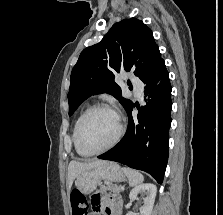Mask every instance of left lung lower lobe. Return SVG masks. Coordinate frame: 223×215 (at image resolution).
Wrapping results in <instances>:
<instances>
[{
	"label": "left lung lower lobe",
	"mask_w": 223,
	"mask_h": 215,
	"mask_svg": "<svg viewBox=\"0 0 223 215\" xmlns=\"http://www.w3.org/2000/svg\"><path fill=\"white\" fill-rule=\"evenodd\" d=\"M146 106L138 109L137 119L126 110L129 122L125 136L108 152L98 156L149 173L162 183L168 161V131L171 124V85L164 60L143 77Z\"/></svg>",
	"instance_id": "0a47b994"
}]
</instances>
